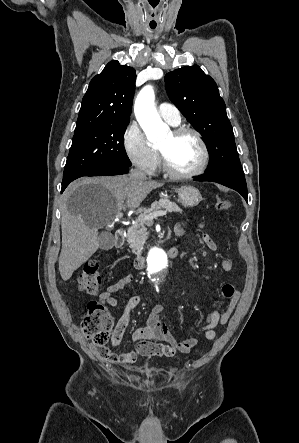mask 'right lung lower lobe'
I'll return each mask as SVG.
<instances>
[{"label": "right lung lower lobe", "instance_id": "1", "mask_svg": "<svg viewBox=\"0 0 299 443\" xmlns=\"http://www.w3.org/2000/svg\"><path fill=\"white\" fill-rule=\"evenodd\" d=\"M129 171V166L125 165H116L98 169L96 171L90 172L85 176H103V175H121L126 174ZM69 183L62 184L61 192L67 187Z\"/></svg>", "mask_w": 299, "mask_h": 443}]
</instances>
